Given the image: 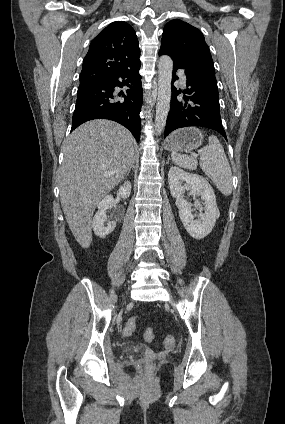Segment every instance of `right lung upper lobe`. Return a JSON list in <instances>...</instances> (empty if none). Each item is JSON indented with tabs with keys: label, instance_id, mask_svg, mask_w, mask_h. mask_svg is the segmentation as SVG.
Returning a JSON list of instances; mask_svg holds the SVG:
<instances>
[{
	"label": "right lung upper lobe",
	"instance_id": "right-lung-upper-lobe-1",
	"mask_svg": "<svg viewBox=\"0 0 285 424\" xmlns=\"http://www.w3.org/2000/svg\"><path fill=\"white\" fill-rule=\"evenodd\" d=\"M140 49L134 29L116 21L91 42L84 58L80 83L104 79L140 64Z\"/></svg>",
	"mask_w": 285,
	"mask_h": 424
}]
</instances>
